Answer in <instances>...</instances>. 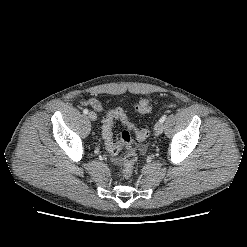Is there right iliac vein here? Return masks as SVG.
I'll list each match as a JSON object with an SVG mask.
<instances>
[{
    "label": "right iliac vein",
    "instance_id": "1",
    "mask_svg": "<svg viewBox=\"0 0 247 247\" xmlns=\"http://www.w3.org/2000/svg\"><path fill=\"white\" fill-rule=\"evenodd\" d=\"M88 118H89L91 121H95V120L97 119V115H96L95 112L90 111V112L88 113Z\"/></svg>",
    "mask_w": 247,
    "mask_h": 247
}]
</instances>
